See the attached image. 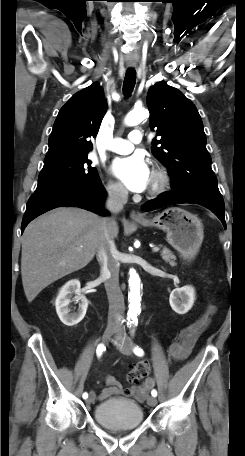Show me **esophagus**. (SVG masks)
Listing matches in <instances>:
<instances>
[{"label":"esophagus","instance_id":"esophagus-1","mask_svg":"<svg viewBox=\"0 0 245 456\" xmlns=\"http://www.w3.org/2000/svg\"><path fill=\"white\" fill-rule=\"evenodd\" d=\"M130 218H131L132 220H141V219H143V216H142L140 213H138V212H136V211L133 210V211H131V213H130Z\"/></svg>","mask_w":245,"mask_h":456}]
</instances>
